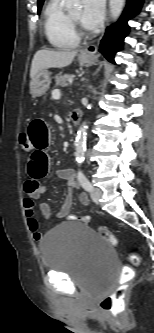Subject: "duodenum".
<instances>
[{
    "instance_id": "obj_1",
    "label": "duodenum",
    "mask_w": 154,
    "mask_h": 333,
    "mask_svg": "<svg viewBox=\"0 0 154 333\" xmlns=\"http://www.w3.org/2000/svg\"><path fill=\"white\" fill-rule=\"evenodd\" d=\"M82 118V110L74 109L71 111L70 119L72 124L77 125L80 123Z\"/></svg>"
}]
</instances>
